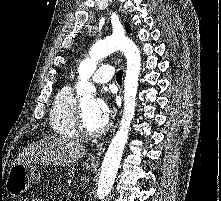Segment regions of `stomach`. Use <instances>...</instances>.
<instances>
[{"label":"stomach","mask_w":221,"mask_h":201,"mask_svg":"<svg viewBox=\"0 0 221 201\" xmlns=\"http://www.w3.org/2000/svg\"><path fill=\"white\" fill-rule=\"evenodd\" d=\"M86 170H93L96 167L95 163L85 162ZM40 180L39 170L24 162H17L12 165L8 172L6 179V190L14 195L18 196L26 192L34 184Z\"/></svg>","instance_id":"0dacf381"}]
</instances>
